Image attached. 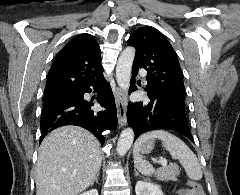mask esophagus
<instances>
[{"instance_id":"34e87169","label":"esophagus","mask_w":240,"mask_h":195,"mask_svg":"<svg viewBox=\"0 0 240 195\" xmlns=\"http://www.w3.org/2000/svg\"><path fill=\"white\" fill-rule=\"evenodd\" d=\"M117 117L120 127L127 124V92L117 88L115 93Z\"/></svg>"}]
</instances>
